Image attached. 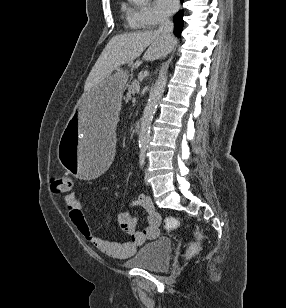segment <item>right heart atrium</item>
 Listing matches in <instances>:
<instances>
[{"instance_id":"d8ad5b80","label":"right heart atrium","mask_w":286,"mask_h":308,"mask_svg":"<svg viewBox=\"0 0 286 308\" xmlns=\"http://www.w3.org/2000/svg\"><path fill=\"white\" fill-rule=\"evenodd\" d=\"M133 18L140 29H152L167 20L166 16L157 12L148 2L133 8Z\"/></svg>"}]
</instances>
